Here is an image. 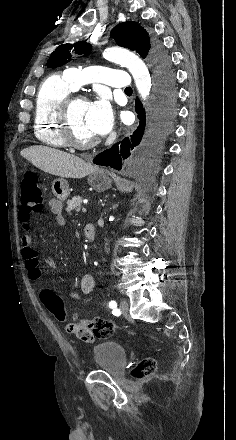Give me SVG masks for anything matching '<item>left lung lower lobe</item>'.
Here are the masks:
<instances>
[{"mask_svg":"<svg viewBox=\"0 0 236 440\" xmlns=\"http://www.w3.org/2000/svg\"><path fill=\"white\" fill-rule=\"evenodd\" d=\"M157 95L153 110L146 122L145 110L142 103L136 99L135 110L138 114L139 125L133 134L113 145L110 149L98 154L93 163L102 166H111L117 170L122 168V161L127 159L133 149L140 144L154 143L163 140L173 130V121L176 116V98L174 77L170 70V63L154 61Z\"/></svg>","mask_w":236,"mask_h":440,"instance_id":"0a47b994","label":"left lung lower lobe"}]
</instances>
